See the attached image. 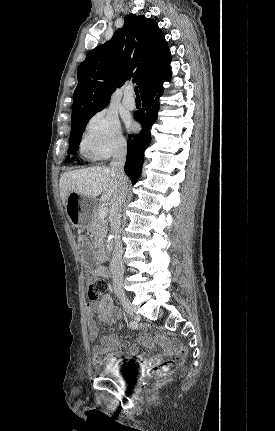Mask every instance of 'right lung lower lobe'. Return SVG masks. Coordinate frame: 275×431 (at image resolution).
Instances as JSON below:
<instances>
[{"label":"right lung lower lobe","mask_w":275,"mask_h":431,"mask_svg":"<svg viewBox=\"0 0 275 431\" xmlns=\"http://www.w3.org/2000/svg\"><path fill=\"white\" fill-rule=\"evenodd\" d=\"M171 71L158 83L141 94L142 109L135 112V119L141 124L142 130L137 135H129L127 146V159L124 170L133 184L141 175L144 162V151L151 142L150 129L157 119L159 110V97L163 93L162 83L169 81Z\"/></svg>","instance_id":"right-lung-lower-lobe-1"}]
</instances>
